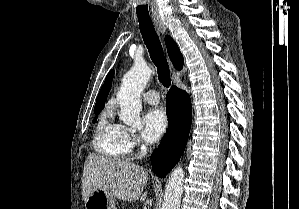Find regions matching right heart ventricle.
I'll return each mask as SVG.
<instances>
[{
    "label": "right heart ventricle",
    "instance_id": "obj_1",
    "mask_svg": "<svg viewBox=\"0 0 299 209\" xmlns=\"http://www.w3.org/2000/svg\"><path fill=\"white\" fill-rule=\"evenodd\" d=\"M124 134L123 126L113 122L109 115L103 117L95 131L94 147L104 155L123 158L130 152L125 143Z\"/></svg>",
    "mask_w": 299,
    "mask_h": 209
}]
</instances>
